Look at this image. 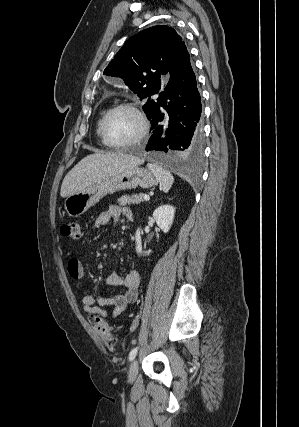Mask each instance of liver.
Returning a JSON list of instances; mask_svg holds the SVG:
<instances>
[{"label": "liver", "instance_id": "obj_1", "mask_svg": "<svg viewBox=\"0 0 299 427\" xmlns=\"http://www.w3.org/2000/svg\"><path fill=\"white\" fill-rule=\"evenodd\" d=\"M144 160L127 154L96 152L84 157L65 176L61 197H68L109 176L142 164Z\"/></svg>", "mask_w": 299, "mask_h": 427}]
</instances>
